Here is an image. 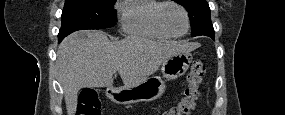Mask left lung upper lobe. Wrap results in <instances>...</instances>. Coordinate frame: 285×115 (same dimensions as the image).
Wrapping results in <instances>:
<instances>
[{
  "instance_id": "obj_1",
  "label": "left lung upper lobe",
  "mask_w": 285,
  "mask_h": 115,
  "mask_svg": "<svg viewBox=\"0 0 285 115\" xmlns=\"http://www.w3.org/2000/svg\"><path fill=\"white\" fill-rule=\"evenodd\" d=\"M189 13L191 36H211L214 29L210 18V8L206 0H175Z\"/></svg>"
}]
</instances>
